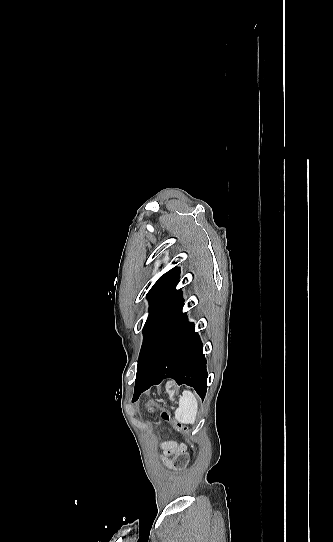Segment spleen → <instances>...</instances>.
I'll return each instance as SVG.
<instances>
[{
    "label": "spleen",
    "instance_id": "1",
    "mask_svg": "<svg viewBox=\"0 0 333 542\" xmlns=\"http://www.w3.org/2000/svg\"><path fill=\"white\" fill-rule=\"evenodd\" d=\"M198 412V400L190 390H184L175 410V420L179 424H195Z\"/></svg>",
    "mask_w": 333,
    "mask_h": 542
}]
</instances>
